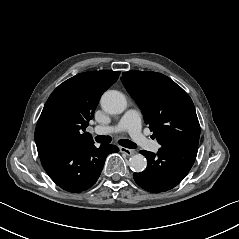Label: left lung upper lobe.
Masks as SVG:
<instances>
[{
	"mask_svg": "<svg viewBox=\"0 0 239 239\" xmlns=\"http://www.w3.org/2000/svg\"><path fill=\"white\" fill-rule=\"evenodd\" d=\"M121 81L140 107L146 124L162 147L198 146L200 125L189 95L169 77L131 70Z\"/></svg>",
	"mask_w": 239,
	"mask_h": 239,
	"instance_id": "left-lung-upper-lobe-1",
	"label": "left lung upper lobe"
}]
</instances>
